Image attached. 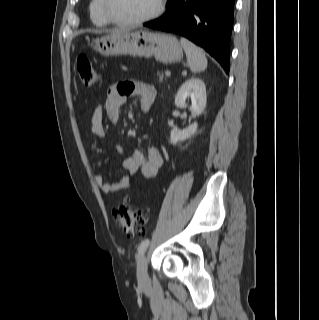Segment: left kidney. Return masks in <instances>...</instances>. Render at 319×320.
<instances>
[{"instance_id":"5707ae66","label":"left kidney","mask_w":319,"mask_h":320,"mask_svg":"<svg viewBox=\"0 0 319 320\" xmlns=\"http://www.w3.org/2000/svg\"><path fill=\"white\" fill-rule=\"evenodd\" d=\"M187 97L191 98L192 104L189 107V110L192 115H201L206 107V87L201 79L191 78L186 80L176 94L175 105L179 108L187 107V104L185 103ZM197 127V122H194L183 130L173 128L170 133V143L176 144L177 142L190 138L196 133Z\"/></svg>"}]
</instances>
